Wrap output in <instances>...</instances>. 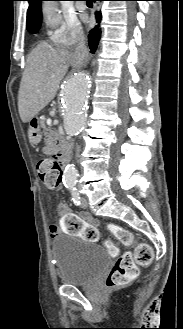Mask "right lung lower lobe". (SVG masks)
<instances>
[{"instance_id":"right-lung-lower-lobe-1","label":"right lung lower lobe","mask_w":183,"mask_h":329,"mask_svg":"<svg viewBox=\"0 0 183 329\" xmlns=\"http://www.w3.org/2000/svg\"><path fill=\"white\" fill-rule=\"evenodd\" d=\"M94 1H102V0H94ZM95 18L97 25L90 30L89 36H88V42H89V48L91 53H95L98 47V43L101 37V27L100 23L102 20V14L100 11L95 12Z\"/></svg>"}]
</instances>
